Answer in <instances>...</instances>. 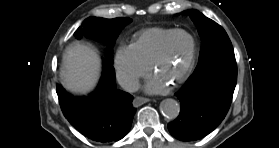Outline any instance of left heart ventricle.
<instances>
[{"instance_id": "obj_1", "label": "left heart ventricle", "mask_w": 279, "mask_h": 148, "mask_svg": "<svg viewBox=\"0 0 279 148\" xmlns=\"http://www.w3.org/2000/svg\"><path fill=\"white\" fill-rule=\"evenodd\" d=\"M191 49V40L185 34L176 35L170 45L167 56L159 64L155 75L166 82H173L187 62Z\"/></svg>"}]
</instances>
